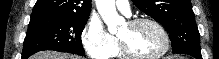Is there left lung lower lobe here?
<instances>
[{
	"label": "left lung lower lobe",
	"instance_id": "obj_1",
	"mask_svg": "<svg viewBox=\"0 0 219 59\" xmlns=\"http://www.w3.org/2000/svg\"><path fill=\"white\" fill-rule=\"evenodd\" d=\"M178 53L179 54L180 53L181 54H188V55H191V56L195 57L196 59H202L201 51L197 50V49H185V50H182V51H180Z\"/></svg>",
	"mask_w": 219,
	"mask_h": 59
}]
</instances>
